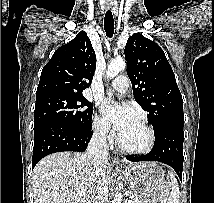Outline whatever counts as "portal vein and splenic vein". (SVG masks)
I'll return each instance as SVG.
<instances>
[{
	"instance_id": "portal-vein-and-splenic-vein-1",
	"label": "portal vein and splenic vein",
	"mask_w": 214,
	"mask_h": 203,
	"mask_svg": "<svg viewBox=\"0 0 214 203\" xmlns=\"http://www.w3.org/2000/svg\"><path fill=\"white\" fill-rule=\"evenodd\" d=\"M127 203H133L131 197L129 198Z\"/></svg>"
}]
</instances>
